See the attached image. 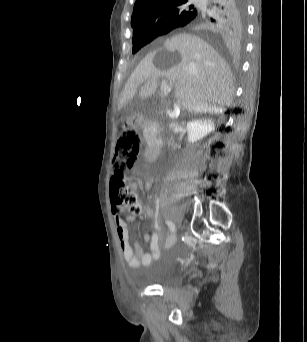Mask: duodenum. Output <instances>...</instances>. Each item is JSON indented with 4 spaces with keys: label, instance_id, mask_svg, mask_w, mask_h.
<instances>
[{
    "label": "duodenum",
    "instance_id": "410a0bca",
    "mask_svg": "<svg viewBox=\"0 0 307 342\" xmlns=\"http://www.w3.org/2000/svg\"><path fill=\"white\" fill-rule=\"evenodd\" d=\"M155 117H126L125 119V126L130 128L133 124L135 128L142 129L146 126V128H153L154 124L156 123ZM163 145V138L158 130L157 127H154V130L149 135V142L145 149V158L147 160L153 159L156 157L160 149Z\"/></svg>",
    "mask_w": 307,
    "mask_h": 342
}]
</instances>
